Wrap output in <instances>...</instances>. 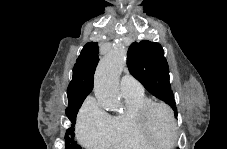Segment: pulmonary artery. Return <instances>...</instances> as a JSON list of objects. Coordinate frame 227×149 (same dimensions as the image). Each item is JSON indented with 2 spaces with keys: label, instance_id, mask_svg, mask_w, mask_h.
I'll use <instances>...</instances> for the list:
<instances>
[{
  "label": "pulmonary artery",
  "instance_id": "1",
  "mask_svg": "<svg viewBox=\"0 0 227 149\" xmlns=\"http://www.w3.org/2000/svg\"><path fill=\"white\" fill-rule=\"evenodd\" d=\"M120 89L122 94L143 92L142 85L132 76L124 75L121 78Z\"/></svg>",
  "mask_w": 227,
  "mask_h": 149
}]
</instances>
